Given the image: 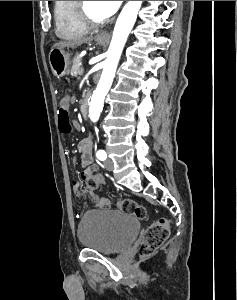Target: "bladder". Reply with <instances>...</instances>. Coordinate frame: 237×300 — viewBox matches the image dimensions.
<instances>
[{
  "label": "bladder",
  "instance_id": "1",
  "mask_svg": "<svg viewBox=\"0 0 237 300\" xmlns=\"http://www.w3.org/2000/svg\"><path fill=\"white\" fill-rule=\"evenodd\" d=\"M140 231L134 216L116 210H96L81 218L77 237L80 244L101 254H116L127 249Z\"/></svg>",
  "mask_w": 237,
  "mask_h": 300
}]
</instances>
